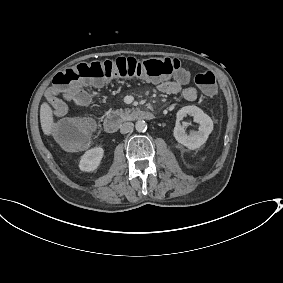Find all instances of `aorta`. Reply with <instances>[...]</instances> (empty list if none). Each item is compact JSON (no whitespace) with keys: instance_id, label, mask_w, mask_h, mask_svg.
I'll return each instance as SVG.
<instances>
[{"instance_id":"obj_1","label":"aorta","mask_w":283,"mask_h":283,"mask_svg":"<svg viewBox=\"0 0 283 283\" xmlns=\"http://www.w3.org/2000/svg\"><path fill=\"white\" fill-rule=\"evenodd\" d=\"M135 128L138 132H145L147 130V124L144 120H139L136 122Z\"/></svg>"}]
</instances>
